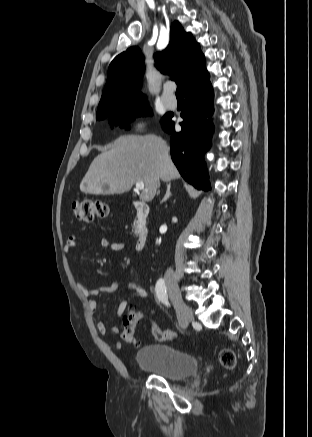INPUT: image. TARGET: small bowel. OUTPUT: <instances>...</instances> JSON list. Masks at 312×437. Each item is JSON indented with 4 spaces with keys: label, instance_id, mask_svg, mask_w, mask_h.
Here are the masks:
<instances>
[{
    "label": "small bowel",
    "instance_id": "1",
    "mask_svg": "<svg viewBox=\"0 0 312 437\" xmlns=\"http://www.w3.org/2000/svg\"><path fill=\"white\" fill-rule=\"evenodd\" d=\"M77 244H78L77 236L74 234L69 235V237L67 238V240L64 244V251L66 253H70L77 246ZM99 244L102 248L109 249V250L114 251V252H121L126 247L123 242L111 241L108 238H101L99 241ZM78 288L86 297H93V296L99 295L100 293L114 292L116 290L117 286H116V283L113 282L112 284H110L108 286H101V287H97V288H93V289H88V288L82 286L81 284H78ZM128 288L130 291L135 293L139 299L147 298V295H148L147 290L145 288H143L142 286H140L139 284H137L135 282H129ZM89 307H90L91 311L95 312L97 310L96 302L93 300H90ZM129 307H130L129 301H121L117 306L116 316L117 317L123 316ZM97 329L101 334H106L108 331H110L112 333L119 332V327L117 325H114V326H111L110 328H108V326L101 320H99L97 322ZM121 346H122V344L120 341H114L112 343V347L114 349H120Z\"/></svg>",
    "mask_w": 312,
    "mask_h": 437
}]
</instances>
